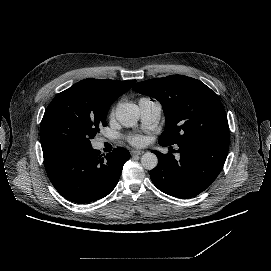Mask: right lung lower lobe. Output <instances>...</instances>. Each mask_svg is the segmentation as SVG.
I'll list each match as a JSON object with an SVG mask.
<instances>
[{"label":"right lung lower lobe","instance_id":"98d812e1","mask_svg":"<svg viewBox=\"0 0 271 271\" xmlns=\"http://www.w3.org/2000/svg\"><path fill=\"white\" fill-rule=\"evenodd\" d=\"M92 146L61 145L43 150L47 175L56 190L75 203H90L107 196L119 181L127 149L107 156Z\"/></svg>","mask_w":271,"mask_h":271}]
</instances>
